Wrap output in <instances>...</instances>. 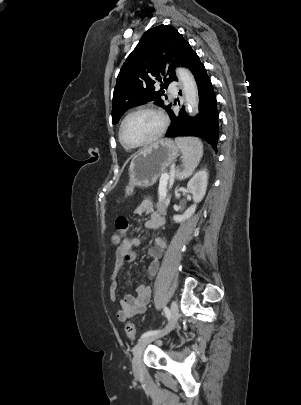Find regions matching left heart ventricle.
<instances>
[{"label":"left heart ventricle","mask_w":301,"mask_h":405,"mask_svg":"<svg viewBox=\"0 0 301 405\" xmlns=\"http://www.w3.org/2000/svg\"><path fill=\"white\" fill-rule=\"evenodd\" d=\"M160 123V119L153 113H137L127 120L123 130L124 138L131 144L142 143L157 133Z\"/></svg>","instance_id":"left-heart-ventricle-1"}]
</instances>
